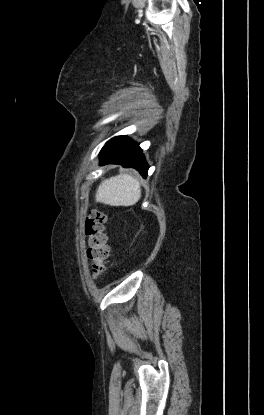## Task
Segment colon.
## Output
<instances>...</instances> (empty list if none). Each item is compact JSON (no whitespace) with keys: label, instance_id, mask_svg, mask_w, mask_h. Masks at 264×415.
Returning a JSON list of instances; mask_svg holds the SVG:
<instances>
[{"label":"colon","instance_id":"colon-1","mask_svg":"<svg viewBox=\"0 0 264 415\" xmlns=\"http://www.w3.org/2000/svg\"><path fill=\"white\" fill-rule=\"evenodd\" d=\"M108 213L104 210H92L84 223V233L88 244L86 255L94 277L101 276L105 271V261L109 255L107 235L105 232Z\"/></svg>","mask_w":264,"mask_h":415}]
</instances>
